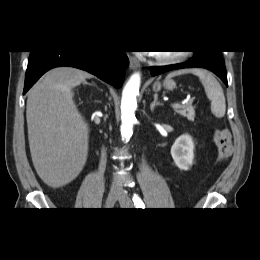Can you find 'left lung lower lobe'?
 Segmentation results:
<instances>
[{"label":"left lung lower lobe","instance_id":"1","mask_svg":"<svg viewBox=\"0 0 260 260\" xmlns=\"http://www.w3.org/2000/svg\"><path fill=\"white\" fill-rule=\"evenodd\" d=\"M194 56L187 62L167 66H153L150 68L152 76L181 68H205L215 73L228 86L226 68L221 51L202 50L195 51Z\"/></svg>","mask_w":260,"mask_h":260}]
</instances>
